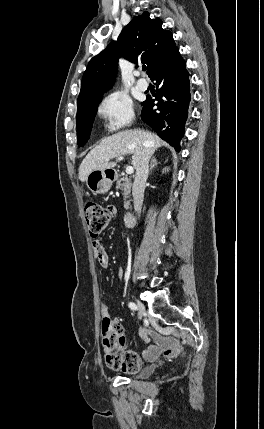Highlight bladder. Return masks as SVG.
<instances>
[{"mask_svg":"<svg viewBox=\"0 0 264 429\" xmlns=\"http://www.w3.org/2000/svg\"><path fill=\"white\" fill-rule=\"evenodd\" d=\"M155 370H156L155 366H147L140 371V373L138 374V377L147 378L151 376L155 372Z\"/></svg>","mask_w":264,"mask_h":429,"instance_id":"bladder-1","label":"bladder"}]
</instances>
